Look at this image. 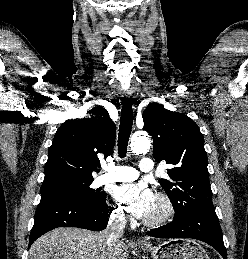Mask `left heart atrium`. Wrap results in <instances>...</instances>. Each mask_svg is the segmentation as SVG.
<instances>
[{
    "mask_svg": "<svg viewBox=\"0 0 248 259\" xmlns=\"http://www.w3.org/2000/svg\"><path fill=\"white\" fill-rule=\"evenodd\" d=\"M114 198L138 218L146 217L154 202L153 192L144 184H124L113 190Z\"/></svg>",
    "mask_w": 248,
    "mask_h": 259,
    "instance_id": "left-heart-atrium-1",
    "label": "left heart atrium"
}]
</instances>
